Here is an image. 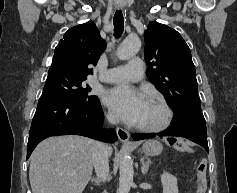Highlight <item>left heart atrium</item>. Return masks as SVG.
I'll return each instance as SVG.
<instances>
[{
    "instance_id": "1",
    "label": "left heart atrium",
    "mask_w": 237,
    "mask_h": 193,
    "mask_svg": "<svg viewBox=\"0 0 237 193\" xmlns=\"http://www.w3.org/2000/svg\"><path fill=\"white\" fill-rule=\"evenodd\" d=\"M143 93L127 85H117L104 94V103L130 124H138L146 105Z\"/></svg>"
}]
</instances>
